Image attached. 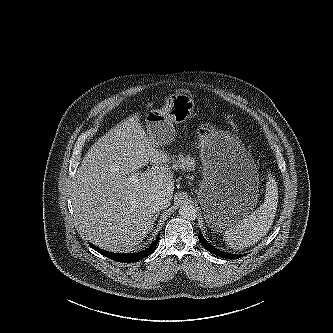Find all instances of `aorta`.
Returning a JSON list of instances; mask_svg holds the SVG:
<instances>
[{
    "mask_svg": "<svg viewBox=\"0 0 333 333\" xmlns=\"http://www.w3.org/2000/svg\"><path fill=\"white\" fill-rule=\"evenodd\" d=\"M179 215L186 220H195L197 217V209L193 205L183 204L180 206Z\"/></svg>",
    "mask_w": 333,
    "mask_h": 333,
    "instance_id": "obj_1",
    "label": "aorta"
}]
</instances>
